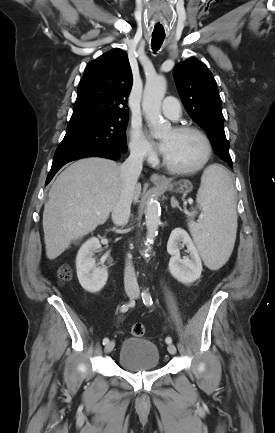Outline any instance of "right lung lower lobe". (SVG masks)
I'll list each match as a JSON object with an SVG mask.
<instances>
[{
	"instance_id": "98d812e1",
	"label": "right lung lower lobe",
	"mask_w": 275,
	"mask_h": 433,
	"mask_svg": "<svg viewBox=\"0 0 275 433\" xmlns=\"http://www.w3.org/2000/svg\"><path fill=\"white\" fill-rule=\"evenodd\" d=\"M122 153L124 152L114 148H96L83 151H72L55 154L52 167L48 174L45 185H47L51 181L53 176L58 172V170L68 162L85 157H103L112 160H118L121 157Z\"/></svg>"
}]
</instances>
